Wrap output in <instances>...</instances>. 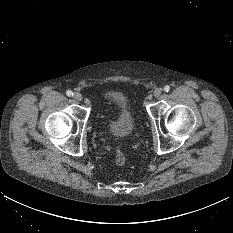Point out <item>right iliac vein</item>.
Returning <instances> with one entry per match:
<instances>
[{
    "label": "right iliac vein",
    "mask_w": 233,
    "mask_h": 233,
    "mask_svg": "<svg viewBox=\"0 0 233 233\" xmlns=\"http://www.w3.org/2000/svg\"><path fill=\"white\" fill-rule=\"evenodd\" d=\"M73 97H74V99L77 100V101H81L82 98H83V97H82V94L79 93V92H75Z\"/></svg>",
    "instance_id": "right-iliac-vein-1"
}]
</instances>
